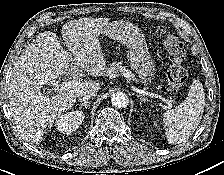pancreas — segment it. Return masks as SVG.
I'll use <instances>...</instances> for the list:
<instances>
[{
	"mask_svg": "<svg viewBox=\"0 0 224 175\" xmlns=\"http://www.w3.org/2000/svg\"><path fill=\"white\" fill-rule=\"evenodd\" d=\"M107 72L110 74H123L128 80H135L134 74L131 73L125 66H122L121 63H111L107 68Z\"/></svg>",
	"mask_w": 224,
	"mask_h": 175,
	"instance_id": "1",
	"label": "pancreas"
}]
</instances>
